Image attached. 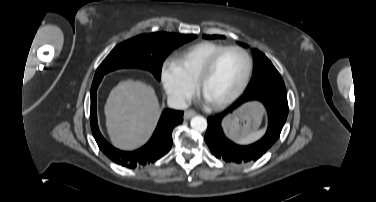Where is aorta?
<instances>
[{
  "instance_id": "1",
  "label": "aorta",
  "mask_w": 376,
  "mask_h": 202,
  "mask_svg": "<svg viewBox=\"0 0 376 202\" xmlns=\"http://www.w3.org/2000/svg\"><path fill=\"white\" fill-rule=\"evenodd\" d=\"M191 127L197 132H203L207 129V120L202 116H195L190 121Z\"/></svg>"
}]
</instances>
